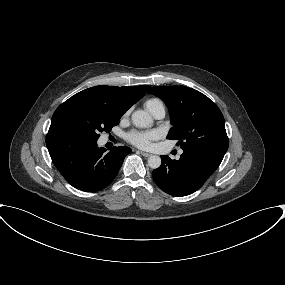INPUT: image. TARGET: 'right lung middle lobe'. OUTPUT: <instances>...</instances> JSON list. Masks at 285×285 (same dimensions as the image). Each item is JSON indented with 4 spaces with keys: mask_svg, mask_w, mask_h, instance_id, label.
I'll return each mask as SVG.
<instances>
[{
    "mask_svg": "<svg viewBox=\"0 0 285 285\" xmlns=\"http://www.w3.org/2000/svg\"><path fill=\"white\" fill-rule=\"evenodd\" d=\"M122 115L99 105H68L58 107L51 124L73 129L91 140H98L100 132H109L120 122Z\"/></svg>",
    "mask_w": 285,
    "mask_h": 285,
    "instance_id": "dd1d6c3e",
    "label": "right lung middle lobe"
}]
</instances>
